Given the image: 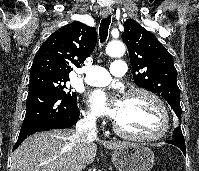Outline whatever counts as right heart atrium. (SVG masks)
Returning <instances> with one entry per match:
<instances>
[{"mask_svg":"<svg viewBox=\"0 0 199 171\" xmlns=\"http://www.w3.org/2000/svg\"><path fill=\"white\" fill-rule=\"evenodd\" d=\"M83 117H84V120L90 124V125H96L97 124V116L94 112L92 111H85L84 114H83Z\"/></svg>","mask_w":199,"mask_h":171,"instance_id":"right-heart-atrium-1","label":"right heart atrium"}]
</instances>
